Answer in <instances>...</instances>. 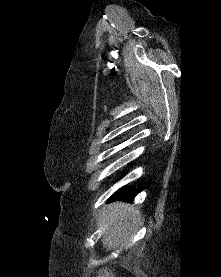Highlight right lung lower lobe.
<instances>
[{"instance_id":"98d812e1","label":"right lung lower lobe","mask_w":221,"mask_h":277,"mask_svg":"<svg viewBox=\"0 0 221 277\" xmlns=\"http://www.w3.org/2000/svg\"><path fill=\"white\" fill-rule=\"evenodd\" d=\"M135 195H136V193L131 188L123 187V188L119 189L118 191H116L111 196L109 201H112V200L132 201L134 199Z\"/></svg>"}]
</instances>
